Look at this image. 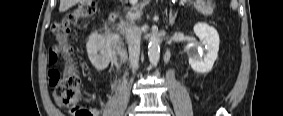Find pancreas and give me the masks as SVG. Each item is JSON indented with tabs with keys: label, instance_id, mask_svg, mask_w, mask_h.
Masks as SVG:
<instances>
[{
	"label": "pancreas",
	"instance_id": "obj_1",
	"mask_svg": "<svg viewBox=\"0 0 283 116\" xmlns=\"http://www.w3.org/2000/svg\"><path fill=\"white\" fill-rule=\"evenodd\" d=\"M196 9L204 15H208L213 11L212 7L210 6H196ZM121 31L124 32V29H121Z\"/></svg>",
	"mask_w": 283,
	"mask_h": 116
}]
</instances>
